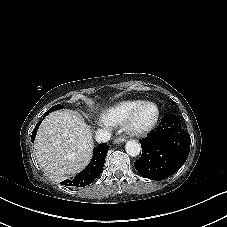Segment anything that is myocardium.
I'll use <instances>...</instances> for the list:
<instances>
[{
	"label": "myocardium",
	"instance_id": "myocardium-1",
	"mask_svg": "<svg viewBox=\"0 0 227 227\" xmlns=\"http://www.w3.org/2000/svg\"><path fill=\"white\" fill-rule=\"evenodd\" d=\"M144 106H153L155 108V115L153 119L144 125H139L136 123V116L138 112ZM160 117V109L159 106L152 101H142L126 118L124 121V129L131 136H142L149 133L157 124Z\"/></svg>",
	"mask_w": 227,
	"mask_h": 227
}]
</instances>
